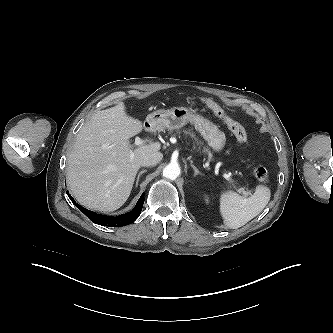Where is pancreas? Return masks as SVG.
<instances>
[{
	"label": "pancreas",
	"instance_id": "pancreas-1",
	"mask_svg": "<svg viewBox=\"0 0 333 333\" xmlns=\"http://www.w3.org/2000/svg\"><path fill=\"white\" fill-rule=\"evenodd\" d=\"M184 133L185 135L189 136L192 140H194L193 147L194 148H201L203 147L204 150H208L207 147L204 146L203 142L199 141L192 129H183L182 131H177V135H180L181 133Z\"/></svg>",
	"mask_w": 333,
	"mask_h": 333
}]
</instances>
